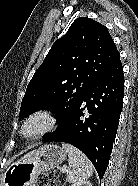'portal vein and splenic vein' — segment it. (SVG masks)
Here are the masks:
<instances>
[{
	"mask_svg": "<svg viewBox=\"0 0 138 186\" xmlns=\"http://www.w3.org/2000/svg\"><path fill=\"white\" fill-rule=\"evenodd\" d=\"M61 172L65 173L66 169L65 168H61Z\"/></svg>",
	"mask_w": 138,
	"mask_h": 186,
	"instance_id": "1",
	"label": "portal vein and splenic vein"
}]
</instances>
